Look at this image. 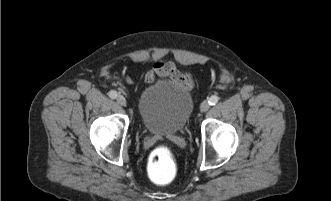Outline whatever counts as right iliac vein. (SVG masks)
I'll return each mask as SVG.
<instances>
[{"label": "right iliac vein", "instance_id": "1", "mask_svg": "<svg viewBox=\"0 0 331 201\" xmlns=\"http://www.w3.org/2000/svg\"><path fill=\"white\" fill-rule=\"evenodd\" d=\"M117 103L121 106H125L126 105V99L124 96L122 95H118L117 97Z\"/></svg>", "mask_w": 331, "mask_h": 201}]
</instances>
